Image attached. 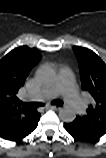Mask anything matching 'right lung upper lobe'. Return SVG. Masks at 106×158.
Returning a JSON list of instances; mask_svg holds the SVG:
<instances>
[{"mask_svg":"<svg viewBox=\"0 0 106 158\" xmlns=\"http://www.w3.org/2000/svg\"><path fill=\"white\" fill-rule=\"evenodd\" d=\"M40 60L36 49L15 48L0 61V135L17 139L39 118L34 109L22 105L17 93L31 69Z\"/></svg>","mask_w":106,"mask_h":158,"instance_id":"obj_1","label":"right lung upper lobe"}]
</instances>
